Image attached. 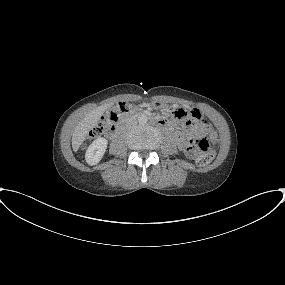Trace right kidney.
I'll return each instance as SVG.
<instances>
[{
	"label": "right kidney",
	"mask_w": 285,
	"mask_h": 285,
	"mask_svg": "<svg viewBox=\"0 0 285 285\" xmlns=\"http://www.w3.org/2000/svg\"><path fill=\"white\" fill-rule=\"evenodd\" d=\"M107 145L108 141L105 138H97L94 140L86 151V162L90 165L97 164L102 159L107 149Z\"/></svg>",
	"instance_id": "right-kidney-1"
}]
</instances>
